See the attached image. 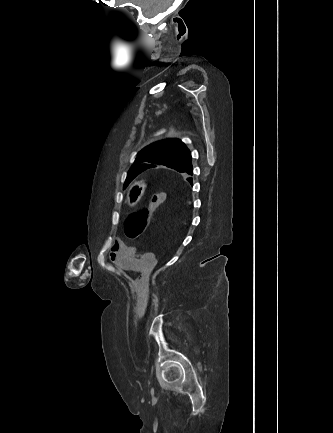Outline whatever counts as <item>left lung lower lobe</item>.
<instances>
[{
	"label": "left lung lower lobe",
	"instance_id": "0a47b994",
	"mask_svg": "<svg viewBox=\"0 0 333 433\" xmlns=\"http://www.w3.org/2000/svg\"><path fill=\"white\" fill-rule=\"evenodd\" d=\"M152 167H154V166L153 165H145L144 170H147V169L152 168ZM185 173L192 175L193 174V167L191 166V168H189ZM188 180L192 183V180L190 178H188Z\"/></svg>",
	"mask_w": 333,
	"mask_h": 433
}]
</instances>
